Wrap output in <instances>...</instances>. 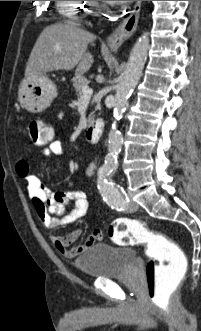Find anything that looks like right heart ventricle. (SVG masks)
Returning a JSON list of instances; mask_svg holds the SVG:
<instances>
[{
	"instance_id": "right-heart-ventricle-1",
	"label": "right heart ventricle",
	"mask_w": 201,
	"mask_h": 331,
	"mask_svg": "<svg viewBox=\"0 0 201 331\" xmlns=\"http://www.w3.org/2000/svg\"><path fill=\"white\" fill-rule=\"evenodd\" d=\"M57 8L65 20L80 23L87 5L86 1H57Z\"/></svg>"
}]
</instances>
